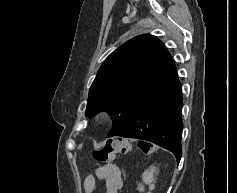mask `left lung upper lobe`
I'll list each match as a JSON object with an SVG mask.
<instances>
[{
    "instance_id": "5c2ea615",
    "label": "left lung upper lobe",
    "mask_w": 237,
    "mask_h": 193,
    "mask_svg": "<svg viewBox=\"0 0 237 193\" xmlns=\"http://www.w3.org/2000/svg\"><path fill=\"white\" fill-rule=\"evenodd\" d=\"M173 60L163 43L153 35L137 36L112 52L94 79L87 101L89 118L100 111L113 115L107 137L117 136L131 117L148 88Z\"/></svg>"
}]
</instances>
